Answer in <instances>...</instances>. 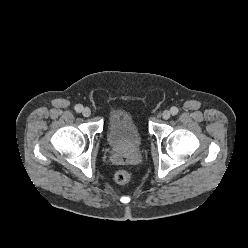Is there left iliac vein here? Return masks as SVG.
Segmentation results:
<instances>
[{"label": "left iliac vein", "instance_id": "obj_1", "mask_svg": "<svg viewBox=\"0 0 248 248\" xmlns=\"http://www.w3.org/2000/svg\"><path fill=\"white\" fill-rule=\"evenodd\" d=\"M162 117L163 119L168 120L171 117V112L169 110H164L162 112Z\"/></svg>", "mask_w": 248, "mask_h": 248}]
</instances>
